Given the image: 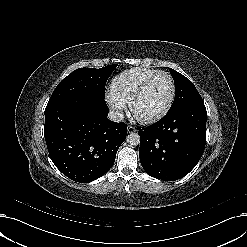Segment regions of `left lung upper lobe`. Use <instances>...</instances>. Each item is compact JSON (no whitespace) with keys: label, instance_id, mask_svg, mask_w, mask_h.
Instances as JSON below:
<instances>
[{"label":"left lung upper lobe","instance_id":"5c2ea615","mask_svg":"<svg viewBox=\"0 0 247 247\" xmlns=\"http://www.w3.org/2000/svg\"><path fill=\"white\" fill-rule=\"evenodd\" d=\"M175 83V98L168 112L178 110L189 102L201 98L193 83L181 73L169 69Z\"/></svg>","mask_w":247,"mask_h":247}]
</instances>
